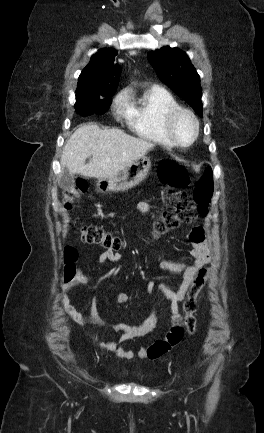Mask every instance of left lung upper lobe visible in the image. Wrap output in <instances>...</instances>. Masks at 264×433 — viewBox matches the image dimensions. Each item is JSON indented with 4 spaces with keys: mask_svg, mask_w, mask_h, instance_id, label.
<instances>
[{
    "mask_svg": "<svg viewBox=\"0 0 264 433\" xmlns=\"http://www.w3.org/2000/svg\"><path fill=\"white\" fill-rule=\"evenodd\" d=\"M148 59L162 82L202 117L200 77L186 53L166 46L151 52Z\"/></svg>",
    "mask_w": 264,
    "mask_h": 433,
    "instance_id": "1",
    "label": "left lung upper lobe"
}]
</instances>
